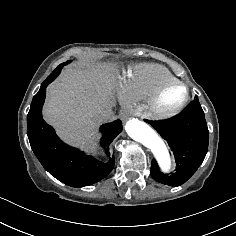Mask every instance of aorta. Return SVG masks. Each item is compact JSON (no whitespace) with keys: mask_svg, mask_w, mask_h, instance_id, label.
<instances>
[{"mask_svg":"<svg viewBox=\"0 0 236 236\" xmlns=\"http://www.w3.org/2000/svg\"><path fill=\"white\" fill-rule=\"evenodd\" d=\"M127 134L135 141L149 148L162 173L171 171V156L163 139L145 122L130 119L125 126Z\"/></svg>","mask_w":236,"mask_h":236,"instance_id":"762f6f07","label":"aorta"}]
</instances>
